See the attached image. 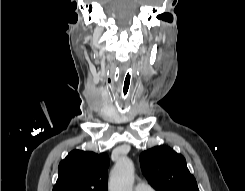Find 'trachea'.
I'll list each match as a JSON object with an SVG mask.
<instances>
[{
    "label": "trachea",
    "instance_id": "obj_1",
    "mask_svg": "<svg viewBox=\"0 0 245 191\" xmlns=\"http://www.w3.org/2000/svg\"><path fill=\"white\" fill-rule=\"evenodd\" d=\"M131 81H132V73H131V70H128L125 73V76L122 80L121 97H122L123 102L127 100L128 95L130 93Z\"/></svg>",
    "mask_w": 245,
    "mask_h": 191
}]
</instances>
